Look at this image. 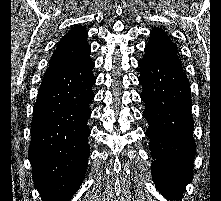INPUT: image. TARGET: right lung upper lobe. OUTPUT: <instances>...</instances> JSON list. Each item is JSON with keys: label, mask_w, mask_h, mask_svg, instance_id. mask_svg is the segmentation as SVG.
Masks as SVG:
<instances>
[{"label": "right lung upper lobe", "mask_w": 221, "mask_h": 201, "mask_svg": "<svg viewBox=\"0 0 221 201\" xmlns=\"http://www.w3.org/2000/svg\"><path fill=\"white\" fill-rule=\"evenodd\" d=\"M88 32L82 26L72 28L54 51L49 67H82L92 62Z\"/></svg>", "instance_id": "right-lung-upper-lobe-1"}]
</instances>
